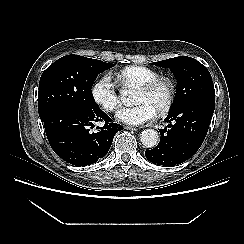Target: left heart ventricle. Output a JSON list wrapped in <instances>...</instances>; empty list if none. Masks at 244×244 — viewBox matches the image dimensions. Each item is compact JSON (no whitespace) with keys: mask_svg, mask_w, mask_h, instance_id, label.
I'll return each instance as SVG.
<instances>
[{"mask_svg":"<svg viewBox=\"0 0 244 244\" xmlns=\"http://www.w3.org/2000/svg\"><path fill=\"white\" fill-rule=\"evenodd\" d=\"M168 91L165 85L159 86L151 93L138 91L135 98V103H147L152 106L156 111L165 103Z\"/></svg>","mask_w":244,"mask_h":244,"instance_id":"left-heart-ventricle-1","label":"left heart ventricle"}]
</instances>
